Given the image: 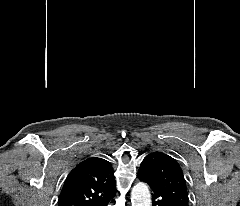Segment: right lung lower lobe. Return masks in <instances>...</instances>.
<instances>
[{
  "mask_svg": "<svg viewBox=\"0 0 240 206\" xmlns=\"http://www.w3.org/2000/svg\"><path fill=\"white\" fill-rule=\"evenodd\" d=\"M115 194L103 199L102 201H100L98 204H96L95 206H106L108 204V202L113 198Z\"/></svg>",
  "mask_w": 240,
  "mask_h": 206,
  "instance_id": "98d812e1",
  "label": "right lung lower lobe"
}]
</instances>
